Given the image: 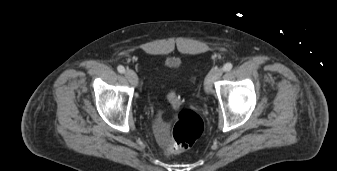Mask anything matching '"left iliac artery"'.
Here are the masks:
<instances>
[{"instance_id": "left-iliac-artery-1", "label": "left iliac artery", "mask_w": 337, "mask_h": 171, "mask_svg": "<svg viewBox=\"0 0 337 171\" xmlns=\"http://www.w3.org/2000/svg\"><path fill=\"white\" fill-rule=\"evenodd\" d=\"M233 65L232 63H226L223 67V71L228 72L232 69Z\"/></svg>"}]
</instances>
